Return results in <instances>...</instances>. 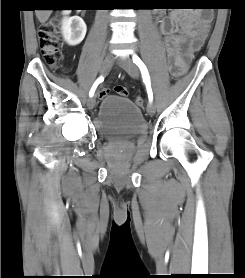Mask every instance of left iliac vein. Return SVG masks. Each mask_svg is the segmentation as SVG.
Returning <instances> with one entry per match:
<instances>
[{
  "label": "left iliac vein",
  "mask_w": 245,
  "mask_h": 278,
  "mask_svg": "<svg viewBox=\"0 0 245 278\" xmlns=\"http://www.w3.org/2000/svg\"><path fill=\"white\" fill-rule=\"evenodd\" d=\"M120 65L123 69L133 78H137L139 76L138 67L127 57H123L119 59ZM147 112L150 115H154L155 113V106L153 103H149L147 106Z\"/></svg>",
  "instance_id": "left-iliac-vein-1"
}]
</instances>
